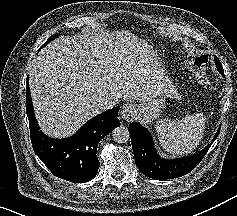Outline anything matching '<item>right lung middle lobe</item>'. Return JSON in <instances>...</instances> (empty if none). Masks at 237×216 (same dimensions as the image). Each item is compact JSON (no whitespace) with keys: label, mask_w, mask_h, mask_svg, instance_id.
Here are the masks:
<instances>
[{"label":"right lung middle lobe","mask_w":237,"mask_h":216,"mask_svg":"<svg viewBox=\"0 0 237 216\" xmlns=\"http://www.w3.org/2000/svg\"><path fill=\"white\" fill-rule=\"evenodd\" d=\"M56 36H59V34H54V35H52V36L44 43V45H42V46L40 47V49H41L42 47H44L46 44H48L50 41L54 40Z\"/></svg>","instance_id":"obj_1"}]
</instances>
